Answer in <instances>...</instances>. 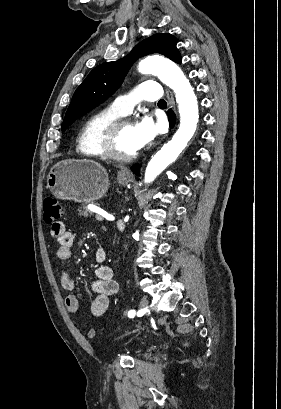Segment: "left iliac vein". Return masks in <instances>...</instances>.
Returning <instances> with one entry per match:
<instances>
[{"instance_id": "1", "label": "left iliac vein", "mask_w": 281, "mask_h": 409, "mask_svg": "<svg viewBox=\"0 0 281 409\" xmlns=\"http://www.w3.org/2000/svg\"><path fill=\"white\" fill-rule=\"evenodd\" d=\"M139 306L142 310L146 311L149 307V301L146 298H143L141 299Z\"/></svg>"}]
</instances>
